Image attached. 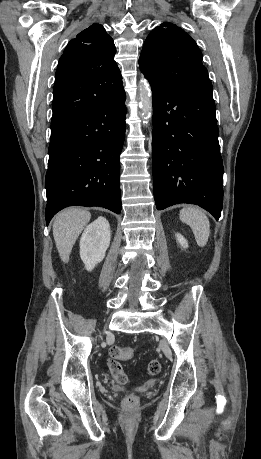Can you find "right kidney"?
Returning a JSON list of instances; mask_svg holds the SVG:
<instances>
[{
    "mask_svg": "<svg viewBox=\"0 0 261 459\" xmlns=\"http://www.w3.org/2000/svg\"><path fill=\"white\" fill-rule=\"evenodd\" d=\"M110 240V225L103 216L85 228L80 239V258L86 270L92 271L104 259Z\"/></svg>",
    "mask_w": 261,
    "mask_h": 459,
    "instance_id": "ca27d5eb",
    "label": "right kidney"
}]
</instances>
